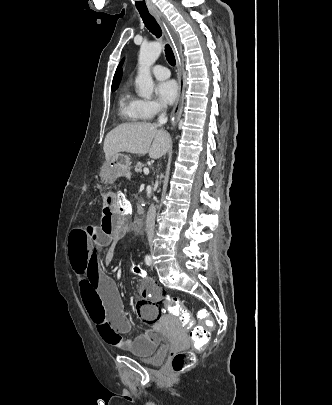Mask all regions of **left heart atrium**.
<instances>
[{
    "label": "left heart atrium",
    "instance_id": "left-heart-atrium-1",
    "mask_svg": "<svg viewBox=\"0 0 332 405\" xmlns=\"http://www.w3.org/2000/svg\"><path fill=\"white\" fill-rule=\"evenodd\" d=\"M158 98L164 104H172L178 97L179 88L174 80L162 81L156 86Z\"/></svg>",
    "mask_w": 332,
    "mask_h": 405
}]
</instances>
